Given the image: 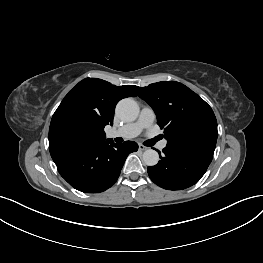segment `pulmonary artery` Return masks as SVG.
<instances>
[{
  "label": "pulmonary artery",
  "instance_id": "pulmonary-artery-1",
  "mask_svg": "<svg viewBox=\"0 0 263 263\" xmlns=\"http://www.w3.org/2000/svg\"><path fill=\"white\" fill-rule=\"evenodd\" d=\"M155 120V113L149 107H144L139 115L137 121L124 125L119 129H113L108 131L107 136L109 138L123 137L130 139L138 136L144 129L150 128ZM167 145V141L163 140L159 144L160 149H164Z\"/></svg>",
  "mask_w": 263,
  "mask_h": 263
}]
</instances>
